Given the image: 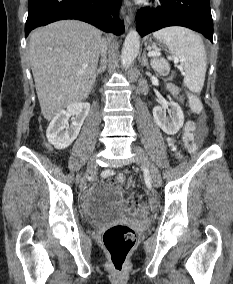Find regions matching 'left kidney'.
<instances>
[{"instance_id":"left-kidney-1","label":"left kidney","mask_w":233,"mask_h":284,"mask_svg":"<svg viewBox=\"0 0 233 284\" xmlns=\"http://www.w3.org/2000/svg\"><path fill=\"white\" fill-rule=\"evenodd\" d=\"M170 114L166 115L165 110L160 106L153 108V116L156 124L168 135L176 134L184 124V114L181 107L170 102Z\"/></svg>"}]
</instances>
